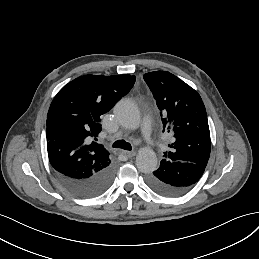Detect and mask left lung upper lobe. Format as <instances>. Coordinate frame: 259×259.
<instances>
[{"label": "left lung upper lobe", "instance_id": "left-lung-upper-lobe-1", "mask_svg": "<svg viewBox=\"0 0 259 259\" xmlns=\"http://www.w3.org/2000/svg\"><path fill=\"white\" fill-rule=\"evenodd\" d=\"M161 111L163 132L175 140L164 159L191 162L206 167L211 150L210 131L203 101L193 88L167 71L144 74Z\"/></svg>", "mask_w": 259, "mask_h": 259}]
</instances>
